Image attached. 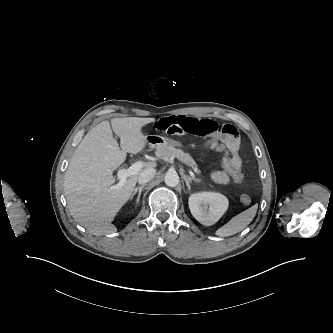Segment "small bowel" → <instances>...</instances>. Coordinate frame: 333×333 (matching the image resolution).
Segmentation results:
<instances>
[{"label": "small bowel", "mask_w": 333, "mask_h": 333, "mask_svg": "<svg viewBox=\"0 0 333 333\" xmlns=\"http://www.w3.org/2000/svg\"><path fill=\"white\" fill-rule=\"evenodd\" d=\"M155 130L172 136L186 134L208 137L212 141L223 145L230 153L238 168L242 167V159L239 156V135L236 128L230 124H219L212 119L196 118L185 115H172L161 117L153 123ZM212 179L219 184H228L230 176L224 170L212 173Z\"/></svg>", "instance_id": "c3829d8e"}]
</instances>
